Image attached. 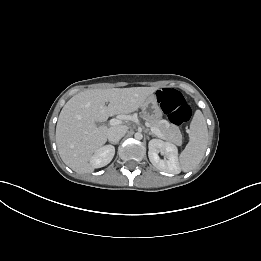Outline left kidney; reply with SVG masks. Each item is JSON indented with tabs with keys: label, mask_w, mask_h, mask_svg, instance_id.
<instances>
[{
	"label": "left kidney",
	"mask_w": 261,
	"mask_h": 261,
	"mask_svg": "<svg viewBox=\"0 0 261 261\" xmlns=\"http://www.w3.org/2000/svg\"><path fill=\"white\" fill-rule=\"evenodd\" d=\"M148 147V157L154 167L171 174L180 173L178 150L174 144L159 139H152L149 141ZM159 152L164 155V160L158 156Z\"/></svg>",
	"instance_id": "left-kidney-1"
}]
</instances>
